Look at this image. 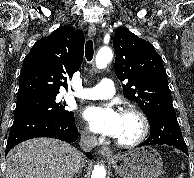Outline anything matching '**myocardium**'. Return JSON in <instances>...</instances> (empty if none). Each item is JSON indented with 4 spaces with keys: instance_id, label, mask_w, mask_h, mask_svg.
I'll list each match as a JSON object with an SVG mask.
<instances>
[{
    "instance_id": "1",
    "label": "myocardium",
    "mask_w": 194,
    "mask_h": 178,
    "mask_svg": "<svg viewBox=\"0 0 194 178\" xmlns=\"http://www.w3.org/2000/svg\"><path fill=\"white\" fill-rule=\"evenodd\" d=\"M121 113L135 116L140 123V132L134 139L129 141L115 138V143L124 148H132L141 144L147 138L150 131V124L147 116L143 111L133 106L125 107Z\"/></svg>"
}]
</instances>
